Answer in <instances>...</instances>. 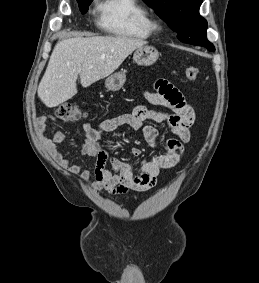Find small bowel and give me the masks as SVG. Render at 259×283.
<instances>
[{
    "instance_id": "1",
    "label": "small bowel",
    "mask_w": 259,
    "mask_h": 283,
    "mask_svg": "<svg viewBox=\"0 0 259 283\" xmlns=\"http://www.w3.org/2000/svg\"><path fill=\"white\" fill-rule=\"evenodd\" d=\"M147 101L155 106H165L170 111L149 109L144 105L136 106L131 112L120 113L105 119L96 126L88 122L81 125L84 135L82 153L95 158L93 170L83 168L82 165L72 163L63 157L58 149L66 139L62 131L54 133L49 148L59 164L70 173L78 175L82 180L94 179L93 187L112 194H125L130 190L146 191L156 184L161 170L177 167L183 158V145L190 140V127L194 123L195 114L182 94L171 83L159 80L155 84L154 92L145 94ZM55 121L52 115H42L35 121L39 135H43L47 122ZM146 121L166 123L174 135L162 145L158 141V130L152 125H145ZM122 126H129L134 130H141L148 144L158 150V155L144 159L135 170L132 166L117 157L101 145L103 138ZM133 156L138 157L142 151L138 147L131 149ZM110 162L112 169L106 168Z\"/></svg>"
}]
</instances>
